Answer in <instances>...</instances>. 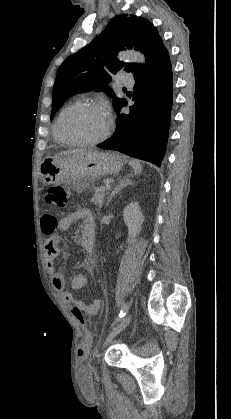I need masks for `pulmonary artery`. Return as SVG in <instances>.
<instances>
[{"label":"pulmonary artery","instance_id":"1","mask_svg":"<svg viewBox=\"0 0 231 419\" xmlns=\"http://www.w3.org/2000/svg\"><path fill=\"white\" fill-rule=\"evenodd\" d=\"M121 83L124 86L132 87L134 85V80L131 76H124V77H121Z\"/></svg>","mask_w":231,"mask_h":419}]
</instances>
